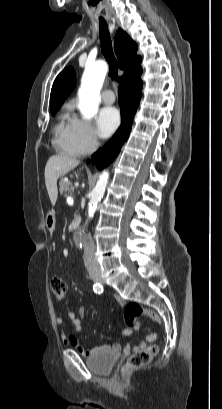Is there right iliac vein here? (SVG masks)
Returning <instances> with one entry per match:
<instances>
[{
  "mask_svg": "<svg viewBox=\"0 0 222 409\" xmlns=\"http://www.w3.org/2000/svg\"><path fill=\"white\" fill-rule=\"evenodd\" d=\"M92 278L96 282H100V283L103 282V278L100 275H93Z\"/></svg>",
  "mask_w": 222,
  "mask_h": 409,
  "instance_id": "1",
  "label": "right iliac vein"
}]
</instances>
